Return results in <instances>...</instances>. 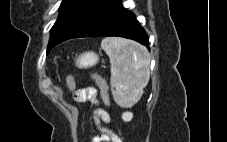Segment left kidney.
I'll use <instances>...</instances> for the list:
<instances>
[{"mask_svg": "<svg viewBox=\"0 0 227 142\" xmlns=\"http://www.w3.org/2000/svg\"><path fill=\"white\" fill-rule=\"evenodd\" d=\"M132 118H133L132 112H124V113L122 114V119H123V121H125V122L131 121Z\"/></svg>", "mask_w": 227, "mask_h": 142, "instance_id": "left-kidney-1", "label": "left kidney"}]
</instances>
